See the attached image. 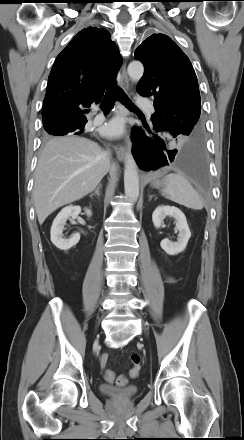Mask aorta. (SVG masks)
<instances>
[{"instance_id":"1","label":"aorta","mask_w":244,"mask_h":440,"mask_svg":"<svg viewBox=\"0 0 244 440\" xmlns=\"http://www.w3.org/2000/svg\"><path fill=\"white\" fill-rule=\"evenodd\" d=\"M127 72L132 81L138 82L143 76L144 67L141 62L133 61L128 65ZM124 189L128 200L131 202L137 201L139 197V176L136 162L131 153L130 141L127 142V153L125 158Z\"/></svg>"}]
</instances>
